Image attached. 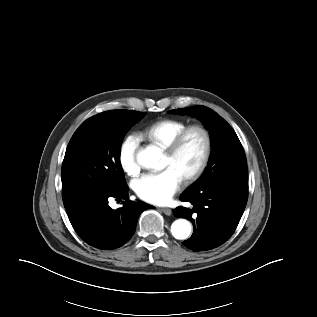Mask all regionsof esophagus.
<instances>
[{
    "label": "esophagus",
    "mask_w": 317,
    "mask_h": 317,
    "mask_svg": "<svg viewBox=\"0 0 317 317\" xmlns=\"http://www.w3.org/2000/svg\"><path fill=\"white\" fill-rule=\"evenodd\" d=\"M160 210L165 214L170 216L172 214V210L170 208H160Z\"/></svg>",
    "instance_id": "34e87169"
}]
</instances>
